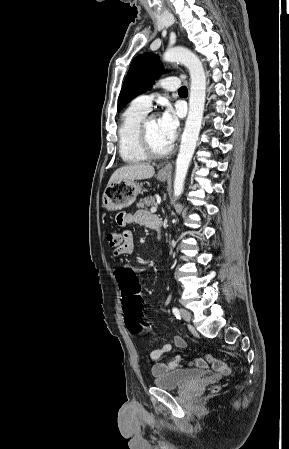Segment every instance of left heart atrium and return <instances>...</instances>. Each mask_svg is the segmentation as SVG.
<instances>
[{
  "label": "left heart atrium",
  "mask_w": 289,
  "mask_h": 449,
  "mask_svg": "<svg viewBox=\"0 0 289 449\" xmlns=\"http://www.w3.org/2000/svg\"><path fill=\"white\" fill-rule=\"evenodd\" d=\"M158 121L165 136L173 143L177 136L179 121L172 108L167 106Z\"/></svg>",
  "instance_id": "left-heart-atrium-1"
}]
</instances>
